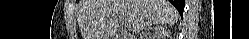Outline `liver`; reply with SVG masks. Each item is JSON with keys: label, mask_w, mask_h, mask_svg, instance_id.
I'll use <instances>...</instances> for the list:
<instances>
[{"label": "liver", "mask_w": 249, "mask_h": 39, "mask_svg": "<svg viewBox=\"0 0 249 39\" xmlns=\"http://www.w3.org/2000/svg\"><path fill=\"white\" fill-rule=\"evenodd\" d=\"M118 16L133 32L152 24H175L179 18L166 0H83L79 23L84 39H114Z\"/></svg>", "instance_id": "obj_1"}]
</instances>
